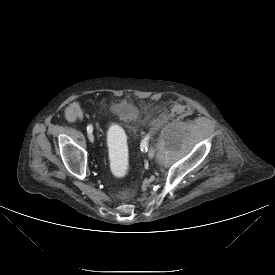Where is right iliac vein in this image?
<instances>
[{
  "mask_svg": "<svg viewBox=\"0 0 275 275\" xmlns=\"http://www.w3.org/2000/svg\"><path fill=\"white\" fill-rule=\"evenodd\" d=\"M88 139H89L90 142H94V136H93V134H89L88 135Z\"/></svg>",
  "mask_w": 275,
  "mask_h": 275,
  "instance_id": "1",
  "label": "right iliac vein"
}]
</instances>
